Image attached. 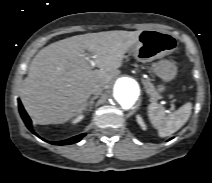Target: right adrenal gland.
Wrapping results in <instances>:
<instances>
[{
	"instance_id": "1",
	"label": "right adrenal gland",
	"mask_w": 212,
	"mask_h": 183,
	"mask_svg": "<svg viewBox=\"0 0 212 183\" xmlns=\"http://www.w3.org/2000/svg\"><path fill=\"white\" fill-rule=\"evenodd\" d=\"M97 98H98V95H95L94 97L90 98V100L87 102V104H86V112H87V114L89 112H91L92 106L94 104V100H96Z\"/></svg>"
}]
</instances>
